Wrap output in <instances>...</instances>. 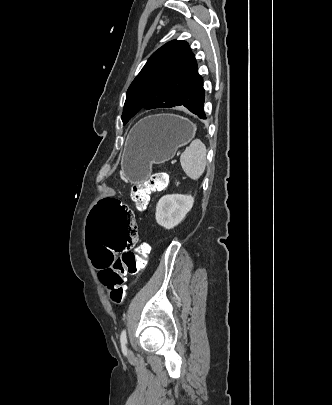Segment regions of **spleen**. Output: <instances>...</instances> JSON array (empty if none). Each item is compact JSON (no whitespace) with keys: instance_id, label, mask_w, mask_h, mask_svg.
<instances>
[{"instance_id":"spleen-1","label":"spleen","mask_w":332,"mask_h":405,"mask_svg":"<svg viewBox=\"0 0 332 405\" xmlns=\"http://www.w3.org/2000/svg\"><path fill=\"white\" fill-rule=\"evenodd\" d=\"M206 146L195 139L181 154L180 162L186 175L192 180H198L206 168Z\"/></svg>"}]
</instances>
